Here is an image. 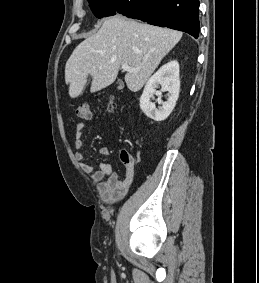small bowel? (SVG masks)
I'll use <instances>...</instances> for the list:
<instances>
[{
    "label": "small bowel",
    "instance_id": "c3829d8e",
    "mask_svg": "<svg viewBox=\"0 0 259 283\" xmlns=\"http://www.w3.org/2000/svg\"><path fill=\"white\" fill-rule=\"evenodd\" d=\"M85 125L77 123L75 126V141L74 145L77 149L75 159L79 168L88 174L91 180L96 183V189L104 201H116L123 198L133 179L134 163L125 165V177L120 178L114 172L108 163H101L99 170H96L91 164L85 162V154L82 149L85 146L83 140ZM102 156H109L110 150L106 146H102L99 150Z\"/></svg>",
    "mask_w": 259,
    "mask_h": 283
}]
</instances>
